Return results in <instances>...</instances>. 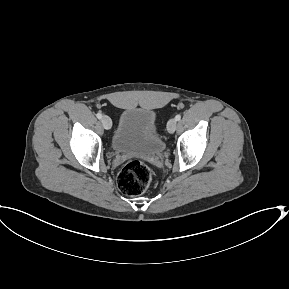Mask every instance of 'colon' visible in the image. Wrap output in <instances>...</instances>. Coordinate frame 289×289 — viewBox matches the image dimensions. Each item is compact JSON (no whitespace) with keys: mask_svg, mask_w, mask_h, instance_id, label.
Segmentation results:
<instances>
[{"mask_svg":"<svg viewBox=\"0 0 289 289\" xmlns=\"http://www.w3.org/2000/svg\"><path fill=\"white\" fill-rule=\"evenodd\" d=\"M152 181L151 169L140 160L129 161L118 176V187L126 195L138 196L144 193Z\"/></svg>","mask_w":289,"mask_h":289,"instance_id":"1","label":"colon"}]
</instances>
